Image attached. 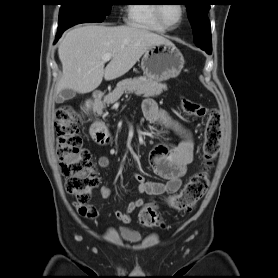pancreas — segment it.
Listing matches in <instances>:
<instances>
[{
	"instance_id": "obj_1",
	"label": "pancreas",
	"mask_w": 278,
	"mask_h": 278,
	"mask_svg": "<svg viewBox=\"0 0 278 278\" xmlns=\"http://www.w3.org/2000/svg\"><path fill=\"white\" fill-rule=\"evenodd\" d=\"M165 89L166 84L150 78L124 79L117 84L112 92L105 96L103 104L109 105L116 102L124 93L155 97L160 95Z\"/></svg>"
}]
</instances>
